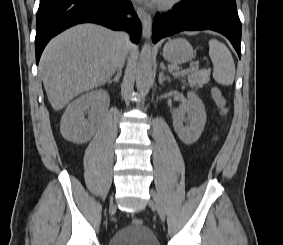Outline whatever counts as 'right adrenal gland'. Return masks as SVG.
Instances as JSON below:
<instances>
[{
  "label": "right adrenal gland",
  "instance_id": "2a0ac1e0",
  "mask_svg": "<svg viewBox=\"0 0 283 245\" xmlns=\"http://www.w3.org/2000/svg\"><path fill=\"white\" fill-rule=\"evenodd\" d=\"M121 74H122L121 71H118L113 79L108 80L107 84L110 85L113 82L119 83V80L121 78Z\"/></svg>",
  "mask_w": 283,
  "mask_h": 245
}]
</instances>
